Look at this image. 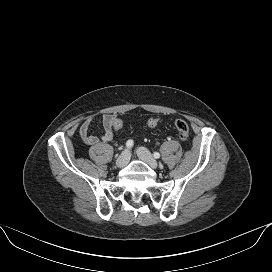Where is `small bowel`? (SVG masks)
I'll list each match as a JSON object with an SVG mask.
<instances>
[{
	"instance_id": "c3829d8e",
	"label": "small bowel",
	"mask_w": 272,
	"mask_h": 272,
	"mask_svg": "<svg viewBox=\"0 0 272 272\" xmlns=\"http://www.w3.org/2000/svg\"><path fill=\"white\" fill-rule=\"evenodd\" d=\"M116 117L117 116L115 114L111 113L104 114L102 116L104 133L100 137L90 133V128L96 120V117L91 116L85 119L79 128V134L83 142L88 146H94L100 142H108L112 140L114 136L113 122Z\"/></svg>"
}]
</instances>
